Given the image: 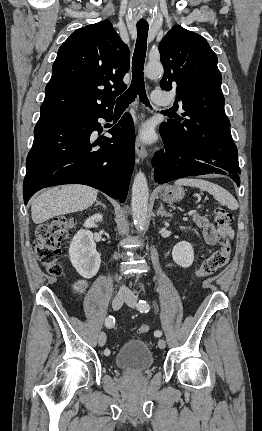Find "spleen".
Returning <instances> with one entry per match:
<instances>
[{
  "label": "spleen",
  "instance_id": "obj_1",
  "mask_svg": "<svg viewBox=\"0 0 262 431\" xmlns=\"http://www.w3.org/2000/svg\"><path fill=\"white\" fill-rule=\"evenodd\" d=\"M175 185L177 186H192L197 187L202 191H206L209 194L213 195L215 200L220 202L223 205H226L230 210H237L239 205L237 200L230 194L226 189L221 186L196 178H181L175 181Z\"/></svg>",
  "mask_w": 262,
  "mask_h": 431
}]
</instances>
